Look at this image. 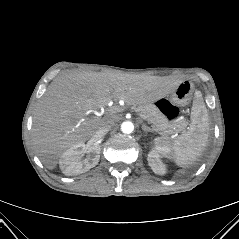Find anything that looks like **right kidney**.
I'll use <instances>...</instances> for the list:
<instances>
[{"instance_id": "obj_1", "label": "right kidney", "mask_w": 239, "mask_h": 239, "mask_svg": "<svg viewBox=\"0 0 239 239\" xmlns=\"http://www.w3.org/2000/svg\"><path fill=\"white\" fill-rule=\"evenodd\" d=\"M100 147H86L84 143H78L65 151L60 160V169L65 175H78L95 167L100 159ZM87 153V157L81 160L82 156Z\"/></svg>"}]
</instances>
